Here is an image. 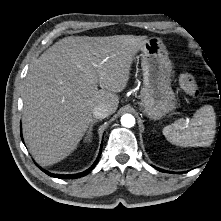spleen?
Instances as JSON below:
<instances>
[{"label":"spleen","instance_id":"spleen-1","mask_svg":"<svg viewBox=\"0 0 221 221\" xmlns=\"http://www.w3.org/2000/svg\"><path fill=\"white\" fill-rule=\"evenodd\" d=\"M216 118L211 106L201 107L188 121L178 119L163 128L166 139L177 146L204 147L211 144L215 134Z\"/></svg>","mask_w":221,"mask_h":221}]
</instances>
